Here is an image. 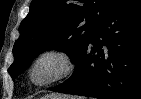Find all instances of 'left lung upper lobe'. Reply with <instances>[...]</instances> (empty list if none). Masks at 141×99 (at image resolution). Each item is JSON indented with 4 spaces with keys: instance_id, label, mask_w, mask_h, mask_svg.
<instances>
[{
    "instance_id": "1",
    "label": "left lung upper lobe",
    "mask_w": 141,
    "mask_h": 99,
    "mask_svg": "<svg viewBox=\"0 0 141 99\" xmlns=\"http://www.w3.org/2000/svg\"><path fill=\"white\" fill-rule=\"evenodd\" d=\"M117 0H32L19 27L9 74L14 80L45 50L66 52L77 64L93 32Z\"/></svg>"
}]
</instances>
